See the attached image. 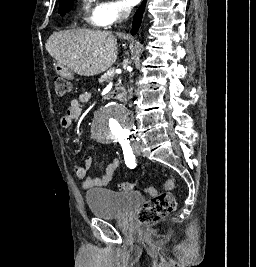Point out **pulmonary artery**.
I'll return each instance as SVG.
<instances>
[{"label": "pulmonary artery", "instance_id": "obj_1", "mask_svg": "<svg viewBox=\"0 0 256 267\" xmlns=\"http://www.w3.org/2000/svg\"><path fill=\"white\" fill-rule=\"evenodd\" d=\"M108 56H115L114 54H112V55H108Z\"/></svg>", "mask_w": 256, "mask_h": 267}]
</instances>
